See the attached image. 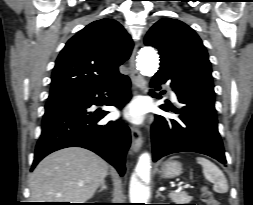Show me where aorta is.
Segmentation results:
<instances>
[{
	"mask_svg": "<svg viewBox=\"0 0 253 205\" xmlns=\"http://www.w3.org/2000/svg\"><path fill=\"white\" fill-rule=\"evenodd\" d=\"M159 67V55L157 51L150 46L142 48L138 56V70L144 76H153ZM130 203L146 204L149 198V188L141 182L136 175H133L130 181L129 191Z\"/></svg>",
	"mask_w": 253,
	"mask_h": 205,
	"instance_id": "obj_1",
	"label": "aorta"
}]
</instances>
